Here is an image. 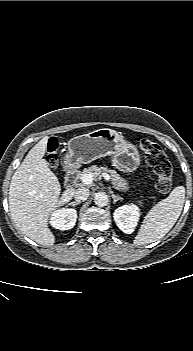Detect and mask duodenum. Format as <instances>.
Here are the masks:
<instances>
[{
	"label": "duodenum",
	"mask_w": 193,
	"mask_h": 351,
	"mask_svg": "<svg viewBox=\"0 0 193 351\" xmlns=\"http://www.w3.org/2000/svg\"><path fill=\"white\" fill-rule=\"evenodd\" d=\"M65 186L67 189H73L76 185L78 175V165L71 157L65 160Z\"/></svg>",
	"instance_id": "1"
}]
</instances>
